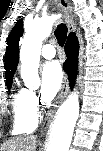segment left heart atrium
<instances>
[{"mask_svg":"<svg viewBox=\"0 0 103 151\" xmlns=\"http://www.w3.org/2000/svg\"><path fill=\"white\" fill-rule=\"evenodd\" d=\"M63 73L57 62L46 64L42 70L41 98L44 102L52 101L62 86Z\"/></svg>","mask_w":103,"mask_h":151,"instance_id":"39dd6f15","label":"left heart atrium"}]
</instances>
